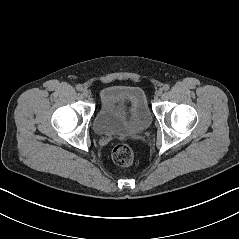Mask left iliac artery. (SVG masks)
<instances>
[{
  "instance_id": "44dca946",
  "label": "left iliac artery",
  "mask_w": 239,
  "mask_h": 239,
  "mask_svg": "<svg viewBox=\"0 0 239 239\" xmlns=\"http://www.w3.org/2000/svg\"><path fill=\"white\" fill-rule=\"evenodd\" d=\"M169 88H170V86H169L168 84H165V85L163 86V90H164V91L169 90Z\"/></svg>"
}]
</instances>
